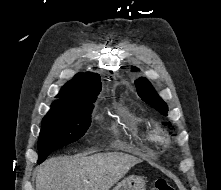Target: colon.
I'll use <instances>...</instances> for the list:
<instances>
[{"label":"colon","mask_w":221,"mask_h":190,"mask_svg":"<svg viewBox=\"0 0 221 190\" xmlns=\"http://www.w3.org/2000/svg\"><path fill=\"white\" fill-rule=\"evenodd\" d=\"M150 190H175L165 179H157Z\"/></svg>","instance_id":"5ec220e1"}]
</instances>
